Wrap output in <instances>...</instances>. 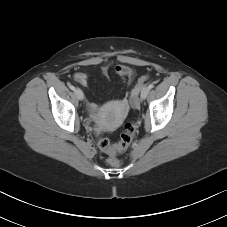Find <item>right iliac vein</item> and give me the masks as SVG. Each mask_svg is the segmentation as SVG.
I'll use <instances>...</instances> for the list:
<instances>
[{
	"mask_svg": "<svg viewBox=\"0 0 227 227\" xmlns=\"http://www.w3.org/2000/svg\"><path fill=\"white\" fill-rule=\"evenodd\" d=\"M74 92H75L76 97H77L79 100H83V98H84V93H83V91H82L81 89L77 88V89H75Z\"/></svg>",
	"mask_w": 227,
	"mask_h": 227,
	"instance_id": "obj_1",
	"label": "right iliac vein"
}]
</instances>
